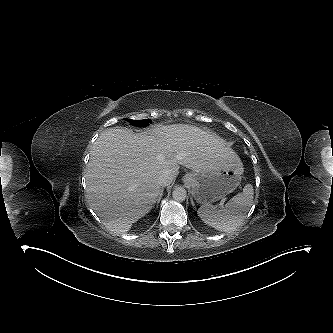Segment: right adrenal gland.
Wrapping results in <instances>:
<instances>
[{"mask_svg":"<svg viewBox=\"0 0 333 333\" xmlns=\"http://www.w3.org/2000/svg\"><path fill=\"white\" fill-rule=\"evenodd\" d=\"M162 195H163V189L161 190L160 195H159V197H158V200H157V207H156V209L158 208V204L160 203V200H161V198H162Z\"/></svg>","mask_w":333,"mask_h":333,"instance_id":"2a0ac1e0","label":"right adrenal gland"}]
</instances>
